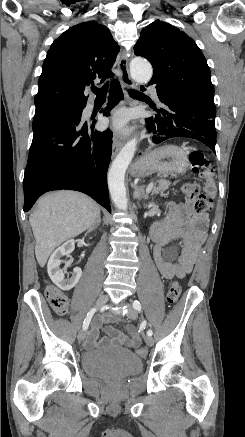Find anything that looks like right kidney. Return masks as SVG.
Wrapping results in <instances>:
<instances>
[{
	"mask_svg": "<svg viewBox=\"0 0 245 437\" xmlns=\"http://www.w3.org/2000/svg\"><path fill=\"white\" fill-rule=\"evenodd\" d=\"M75 248V240L71 239L62 244L59 248H57L53 254L51 255L47 270L49 277L52 282L58 286L61 290L69 291L71 290L79 281L82 270L79 267H75L72 272V276L65 279V275L63 270L60 269L61 260L60 258L65 255H69L73 252Z\"/></svg>",
	"mask_w": 245,
	"mask_h": 437,
	"instance_id": "obj_1",
	"label": "right kidney"
}]
</instances>
